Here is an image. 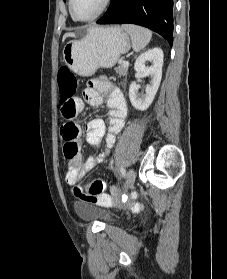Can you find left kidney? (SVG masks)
<instances>
[{
  "label": "left kidney",
  "mask_w": 227,
  "mask_h": 279,
  "mask_svg": "<svg viewBox=\"0 0 227 279\" xmlns=\"http://www.w3.org/2000/svg\"><path fill=\"white\" fill-rule=\"evenodd\" d=\"M163 51L160 48H153L145 51L136 58L134 69L135 78L138 80L150 76V84L146 86V94L138 95L139 85L132 83L129 87V98L132 106L140 111L148 109L154 100L162 78ZM152 62V65L146 67V62Z\"/></svg>",
  "instance_id": "5707ae66"
}]
</instances>
